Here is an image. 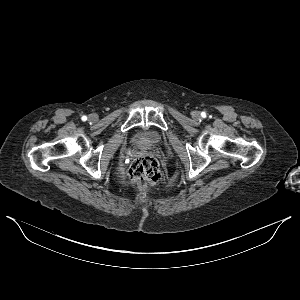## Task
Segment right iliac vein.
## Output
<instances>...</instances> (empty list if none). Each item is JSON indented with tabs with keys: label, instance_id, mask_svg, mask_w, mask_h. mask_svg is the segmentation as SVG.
Returning <instances> with one entry per match:
<instances>
[{
	"label": "right iliac vein",
	"instance_id": "right-iliac-vein-1",
	"mask_svg": "<svg viewBox=\"0 0 300 300\" xmlns=\"http://www.w3.org/2000/svg\"><path fill=\"white\" fill-rule=\"evenodd\" d=\"M95 118H96L95 115H91V116H90V119H91V120H94Z\"/></svg>",
	"mask_w": 300,
	"mask_h": 300
}]
</instances>
